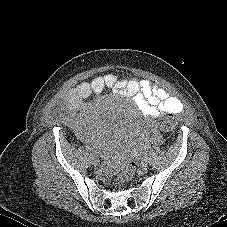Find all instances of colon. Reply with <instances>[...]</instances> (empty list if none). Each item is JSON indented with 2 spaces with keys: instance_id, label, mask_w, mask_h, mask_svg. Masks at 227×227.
<instances>
[{
  "instance_id": "1",
  "label": "colon",
  "mask_w": 227,
  "mask_h": 227,
  "mask_svg": "<svg viewBox=\"0 0 227 227\" xmlns=\"http://www.w3.org/2000/svg\"><path fill=\"white\" fill-rule=\"evenodd\" d=\"M175 124V116L173 114L165 115L159 121V127L163 131H169L174 127ZM137 168V164L134 161H125L119 166H108L107 170L110 173H113L116 177V180L121 183H127L132 176L134 175Z\"/></svg>"
}]
</instances>
